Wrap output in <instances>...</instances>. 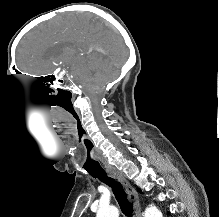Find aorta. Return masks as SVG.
<instances>
[{
	"label": "aorta",
	"mask_w": 219,
	"mask_h": 217,
	"mask_svg": "<svg viewBox=\"0 0 219 217\" xmlns=\"http://www.w3.org/2000/svg\"><path fill=\"white\" fill-rule=\"evenodd\" d=\"M96 217H119V211L114 206L102 207L98 210ZM144 217H162V213L155 206L146 208Z\"/></svg>",
	"instance_id": "aorta-1"
}]
</instances>
